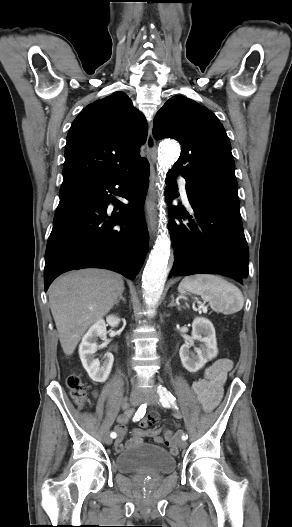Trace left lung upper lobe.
<instances>
[{
	"label": "left lung upper lobe",
	"instance_id": "5c2ea615",
	"mask_svg": "<svg viewBox=\"0 0 292 527\" xmlns=\"http://www.w3.org/2000/svg\"><path fill=\"white\" fill-rule=\"evenodd\" d=\"M156 139L174 138L182 146L170 170L186 179V186L237 195L231 144L218 118L206 107L173 96L154 119Z\"/></svg>",
	"mask_w": 292,
	"mask_h": 527
}]
</instances>
